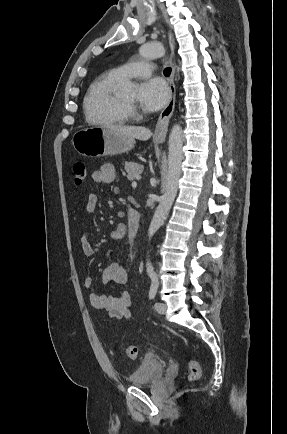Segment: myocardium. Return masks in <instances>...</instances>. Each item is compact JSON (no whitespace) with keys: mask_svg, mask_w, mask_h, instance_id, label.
I'll use <instances>...</instances> for the list:
<instances>
[{"mask_svg":"<svg viewBox=\"0 0 287 434\" xmlns=\"http://www.w3.org/2000/svg\"><path fill=\"white\" fill-rule=\"evenodd\" d=\"M122 101L124 103V105L126 106V108L128 109V111L130 112L133 108V102L126 100L125 98L121 97Z\"/></svg>","mask_w":287,"mask_h":434,"instance_id":"1","label":"myocardium"}]
</instances>
